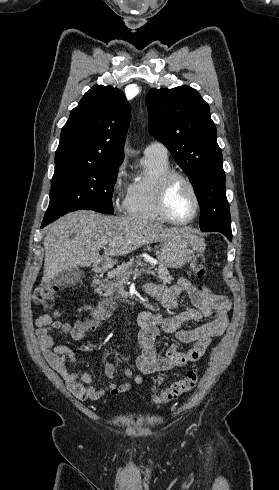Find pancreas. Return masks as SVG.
<instances>
[{"mask_svg":"<svg viewBox=\"0 0 279 490\" xmlns=\"http://www.w3.org/2000/svg\"><path fill=\"white\" fill-rule=\"evenodd\" d=\"M134 260H129V262H124V264H121V266H117L116 270H112L110 272L107 280H103V282H95L97 284L98 288H95L94 292L95 294H98V296H112L113 290H114V282L116 280H119V278H129L131 274H134L133 268H134ZM153 264H151L150 268L148 270H143L145 274H151V276H155L157 280H160V282H163V284H171L173 278L170 276L167 268L163 266V264H160L159 268H154Z\"/></svg>","mask_w":279,"mask_h":490,"instance_id":"cf45deb5","label":"pancreas"}]
</instances>
